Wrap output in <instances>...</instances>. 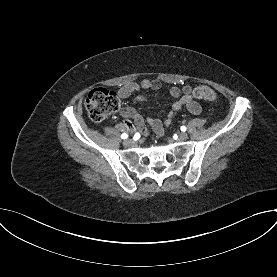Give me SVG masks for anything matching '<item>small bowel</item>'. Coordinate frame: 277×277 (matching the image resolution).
Instances as JSON below:
<instances>
[{
	"label": "small bowel",
	"mask_w": 277,
	"mask_h": 277,
	"mask_svg": "<svg viewBox=\"0 0 277 277\" xmlns=\"http://www.w3.org/2000/svg\"><path fill=\"white\" fill-rule=\"evenodd\" d=\"M160 88L161 83L159 81L144 79L140 82H130L125 84L116 94L118 99H125L142 90H158ZM168 96L175 101L172 104L171 111L166 114L164 120L162 121L155 117H149L147 119V123L151 129L159 136L164 135L165 127L171 124L175 111L180 110L182 107H186V109L193 115H199L202 111L201 105L196 101L192 88L189 85H185L181 88L176 86L171 87L168 91ZM147 100L148 98L143 95L136 97V101L138 102H146ZM122 115L126 118L132 119L134 122L133 125L130 121H125L123 123V128L131 130L135 126L141 135L147 136L149 134V129L146 126L144 118L134 109L124 108L122 110Z\"/></svg>",
	"instance_id": "c3829d8e"
}]
</instances>
